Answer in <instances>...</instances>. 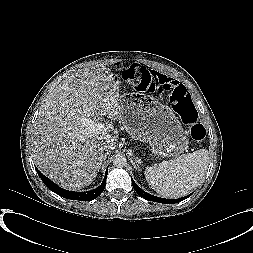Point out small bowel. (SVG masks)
I'll list each match as a JSON object with an SVG mask.
<instances>
[{"mask_svg": "<svg viewBox=\"0 0 253 253\" xmlns=\"http://www.w3.org/2000/svg\"><path fill=\"white\" fill-rule=\"evenodd\" d=\"M179 84L171 77L161 74L156 71H150L146 79H136L133 85L138 90L144 91H160L163 88H170L171 86Z\"/></svg>", "mask_w": 253, "mask_h": 253, "instance_id": "obj_1", "label": "small bowel"}]
</instances>
